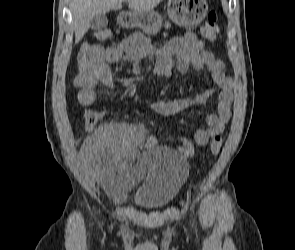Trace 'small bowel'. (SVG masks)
I'll return each mask as SVG.
<instances>
[{"label":"small bowel","instance_id":"obj_1","mask_svg":"<svg viewBox=\"0 0 295 250\" xmlns=\"http://www.w3.org/2000/svg\"><path fill=\"white\" fill-rule=\"evenodd\" d=\"M143 58L154 60L153 73L161 77H169L174 68L181 73L190 69L209 71L212 85L209 90L193 98L157 100L152 103L151 109L161 117H172L192 106L205 104L209 96L218 91L216 110L206 117L208 128L196 131L195 142L199 146H206L214 139L222 141L221 134L231 118L232 83L225 75L224 63L206 50L203 41L192 32L174 35L162 48L152 47L139 33L129 36L114 47L95 46L89 66H79V73L74 80L79 103L90 106L96 101L95 88L98 83L109 88L115 86L109 64L122 60L137 62ZM178 142L182 154H193L194 147L189 140L180 138ZM156 143V138L142 125H103L85 140L81 148L83 173L112 195L123 197L145 176L140 163L123 168L124 163L133 160L141 148L153 147Z\"/></svg>","mask_w":295,"mask_h":250}]
</instances>
